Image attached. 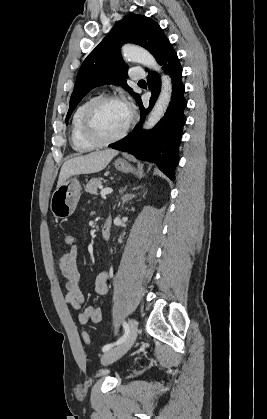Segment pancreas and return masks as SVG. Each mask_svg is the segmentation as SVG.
<instances>
[{
    "label": "pancreas",
    "mask_w": 267,
    "mask_h": 419,
    "mask_svg": "<svg viewBox=\"0 0 267 419\" xmlns=\"http://www.w3.org/2000/svg\"><path fill=\"white\" fill-rule=\"evenodd\" d=\"M102 185L101 178H92L85 187V191L90 194H97V189Z\"/></svg>",
    "instance_id": "cf45deb5"
}]
</instances>
